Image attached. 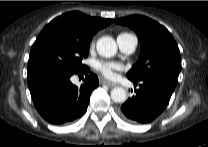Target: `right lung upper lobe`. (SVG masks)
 Wrapping results in <instances>:
<instances>
[{
    "instance_id": "right-lung-upper-lobe-1",
    "label": "right lung upper lobe",
    "mask_w": 208,
    "mask_h": 147,
    "mask_svg": "<svg viewBox=\"0 0 208 147\" xmlns=\"http://www.w3.org/2000/svg\"><path fill=\"white\" fill-rule=\"evenodd\" d=\"M112 22V19L90 17L81 12L72 11L53 19L41 31L38 38L53 32H68L91 40L99 29Z\"/></svg>"
}]
</instances>
